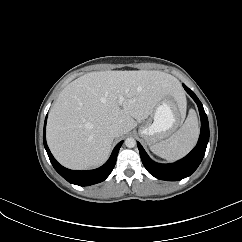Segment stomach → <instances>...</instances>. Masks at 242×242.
I'll list each match as a JSON object with an SVG mask.
<instances>
[{"mask_svg":"<svg viewBox=\"0 0 242 242\" xmlns=\"http://www.w3.org/2000/svg\"><path fill=\"white\" fill-rule=\"evenodd\" d=\"M184 118L185 108L174 97H166L155 107L152 118L139 128V134L152 146L170 136Z\"/></svg>","mask_w":242,"mask_h":242,"instance_id":"stomach-1","label":"stomach"}]
</instances>
